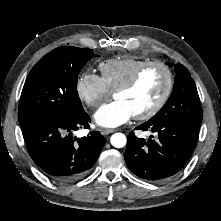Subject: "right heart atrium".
Segmentation results:
<instances>
[{
  "label": "right heart atrium",
  "instance_id": "right-heart-atrium-1",
  "mask_svg": "<svg viewBox=\"0 0 221 221\" xmlns=\"http://www.w3.org/2000/svg\"><path fill=\"white\" fill-rule=\"evenodd\" d=\"M78 98L91 108H96L110 95L101 77L91 72L80 74L75 83Z\"/></svg>",
  "mask_w": 221,
  "mask_h": 221
}]
</instances>
